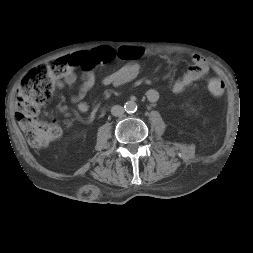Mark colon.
<instances>
[{
	"label": "colon",
	"mask_w": 253,
	"mask_h": 253,
	"mask_svg": "<svg viewBox=\"0 0 253 253\" xmlns=\"http://www.w3.org/2000/svg\"><path fill=\"white\" fill-rule=\"evenodd\" d=\"M70 69L71 62L66 57L47 65H38L23 76L17 87L15 116L34 148L45 147L62 134V128L56 121H40L38 114L40 107L51 99L55 80L62 78ZM207 87L212 95L220 96L224 92L225 83L219 78H212Z\"/></svg>",
	"instance_id": "5ec220e1"
}]
</instances>
